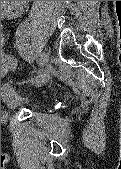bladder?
I'll return each instance as SVG.
<instances>
[{
  "label": "bladder",
  "mask_w": 121,
  "mask_h": 169,
  "mask_svg": "<svg viewBox=\"0 0 121 169\" xmlns=\"http://www.w3.org/2000/svg\"><path fill=\"white\" fill-rule=\"evenodd\" d=\"M1 98L11 109H15L29 103V99L23 96L15 87L5 84L1 88Z\"/></svg>",
  "instance_id": "1"
}]
</instances>
